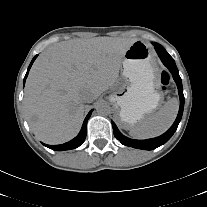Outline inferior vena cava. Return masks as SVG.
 <instances>
[{
	"instance_id": "inferior-vena-cava-1",
	"label": "inferior vena cava",
	"mask_w": 207,
	"mask_h": 207,
	"mask_svg": "<svg viewBox=\"0 0 207 207\" xmlns=\"http://www.w3.org/2000/svg\"><path fill=\"white\" fill-rule=\"evenodd\" d=\"M81 99L84 103H91L93 101V97L89 92H82Z\"/></svg>"
}]
</instances>
